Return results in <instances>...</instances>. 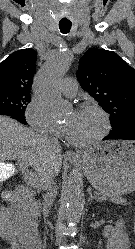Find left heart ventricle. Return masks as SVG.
<instances>
[{
	"label": "left heart ventricle",
	"mask_w": 135,
	"mask_h": 249,
	"mask_svg": "<svg viewBox=\"0 0 135 249\" xmlns=\"http://www.w3.org/2000/svg\"><path fill=\"white\" fill-rule=\"evenodd\" d=\"M64 124L70 136L77 141H88L97 136L103 128L101 116L91 109L71 111Z\"/></svg>",
	"instance_id": "b2bd125f"
}]
</instances>
